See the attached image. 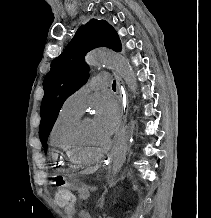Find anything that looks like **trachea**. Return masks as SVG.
Returning a JSON list of instances; mask_svg holds the SVG:
<instances>
[{
    "label": "trachea",
    "instance_id": "3493384b",
    "mask_svg": "<svg viewBox=\"0 0 211 218\" xmlns=\"http://www.w3.org/2000/svg\"><path fill=\"white\" fill-rule=\"evenodd\" d=\"M112 88H116V81L115 80L113 81Z\"/></svg>",
    "mask_w": 211,
    "mask_h": 218
}]
</instances>
